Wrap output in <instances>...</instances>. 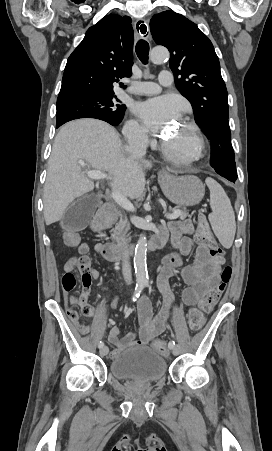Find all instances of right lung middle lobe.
<instances>
[{
  "mask_svg": "<svg viewBox=\"0 0 272 451\" xmlns=\"http://www.w3.org/2000/svg\"><path fill=\"white\" fill-rule=\"evenodd\" d=\"M126 106L114 95H88L57 100L56 124L78 118H96L118 125Z\"/></svg>",
  "mask_w": 272,
  "mask_h": 451,
  "instance_id": "right-lung-middle-lobe-1",
  "label": "right lung middle lobe"
}]
</instances>
